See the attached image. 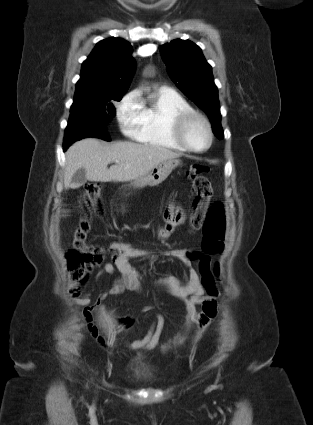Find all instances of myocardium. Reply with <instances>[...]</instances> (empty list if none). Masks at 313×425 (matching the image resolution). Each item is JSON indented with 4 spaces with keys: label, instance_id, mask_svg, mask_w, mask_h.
I'll return each mask as SVG.
<instances>
[{
    "label": "myocardium",
    "instance_id": "1",
    "mask_svg": "<svg viewBox=\"0 0 313 425\" xmlns=\"http://www.w3.org/2000/svg\"><path fill=\"white\" fill-rule=\"evenodd\" d=\"M199 120L201 121L207 130L208 133V144L201 149L194 148L189 144V142L186 139V131L189 125L195 121ZM173 135L176 139V141L187 151L194 152V153H202L206 150H208L212 143H213V130L212 126L210 124V121L201 113L195 111V110H189L178 113L173 122Z\"/></svg>",
    "mask_w": 313,
    "mask_h": 425
}]
</instances>
